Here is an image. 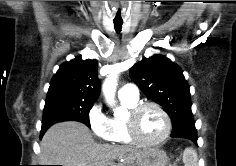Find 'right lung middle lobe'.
<instances>
[{"instance_id":"1","label":"right lung middle lobe","mask_w":236,"mask_h":166,"mask_svg":"<svg viewBox=\"0 0 236 166\" xmlns=\"http://www.w3.org/2000/svg\"><path fill=\"white\" fill-rule=\"evenodd\" d=\"M93 105V101H85L77 98H47L41 130L45 131L52 124L61 121H78L90 127L89 111Z\"/></svg>"}]
</instances>
